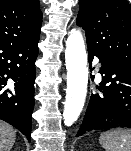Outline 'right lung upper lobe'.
<instances>
[{"instance_id":"obj_1","label":"right lung upper lobe","mask_w":131,"mask_h":151,"mask_svg":"<svg viewBox=\"0 0 131 151\" xmlns=\"http://www.w3.org/2000/svg\"><path fill=\"white\" fill-rule=\"evenodd\" d=\"M41 24L39 0H0V45L38 40Z\"/></svg>"}]
</instances>
